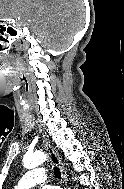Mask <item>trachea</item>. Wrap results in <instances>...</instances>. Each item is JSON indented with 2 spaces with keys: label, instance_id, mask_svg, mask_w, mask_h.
Here are the masks:
<instances>
[{
  "label": "trachea",
  "instance_id": "1",
  "mask_svg": "<svg viewBox=\"0 0 124 189\" xmlns=\"http://www.w3.org/2000/svg\"><path fill=\"white\" fill-rule=\"evenodd\" d=\"M54 174L57 178H59V179L61 178V172H60L59 168L54 167Z\"/></svg>",
  "mask_w": 124,
  "mask_h": 189
}]
</instances>
